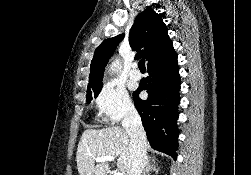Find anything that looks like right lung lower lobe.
<instances>
[{"mask_svg": "<svg viewBox=\"0 0 251 175\" xmlns=\"http://www.w3.org/2000/svg\"><path fill=\"white\" fill-rule=\"evenodd\" d=\"M147 72L149 76L140 81L133 94L135 106L152 148L176 160L179 135L177 106L180 101L177 55L157 66L148 67ZM142 90L148 93L146 100L138 96Z\"/></svg>", "mask_w": 251, "mask_h": 175, "instance_id": "right-lung-lower-lobe-1", "label": "right lung lower lobe"}]
</instances>
